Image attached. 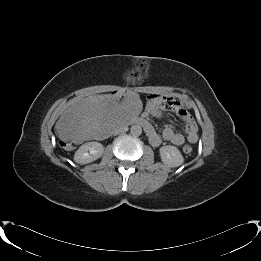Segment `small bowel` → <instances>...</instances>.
I'll list each match as a JSON object with an SVG mask.
<instances>
[{
	"label": "small bowel",
	"instance_id": "small-bowel-1",
	"mask_svg": "<svg viewBox=\"0 0 261 261\" xmlns=\"http://www.w3.org/2000/svg\"><path fill=\"white\" fill-rule=\"evenodd\" d=\"M151 104L148 108V113L153 117H161L163 111L174 112L181 118L185 125L186 136L182 133L175 132L171 127H166L162 132L164 140L170 143L180 146L187 140L189 143H196L198 140V127L196 122L191 117L187 109L176 99L168 95H153L151 96ZM149 140L152 145L157 146L160 144L161 139L157 132L152 130L148 134Z\"/></svg>",
	"mask_w": 261,
	"mask_h": 261
}]
</instances>
